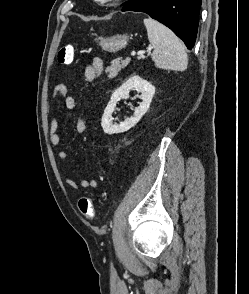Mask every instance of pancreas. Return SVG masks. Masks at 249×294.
Instances as JSON below:
<instances>
[{
  "label": "pancreas",
  "instance_id": "pancreas-1",
  "mask_svg": "<svg viewBox=\"0 0 249 294\" xmlns=\"http://www.w3.org/2000/svg\"><path fill=\"white\" fill-rule=\"evenodd\" d=\"M130 62L129 58L122 59L116 58L111 62V65L105 69V72L108 74L109 78H114L118 75V73L124 69Z\"/></svg>",
  "mask_w": 249,
  "mask_h": 294
}]
</instances>
